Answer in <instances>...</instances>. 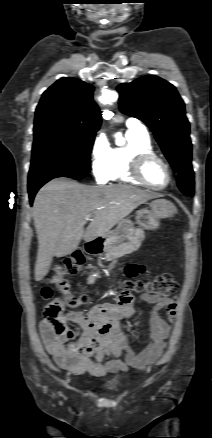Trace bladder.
Segmentation results:
<instances>
[{
	"label": "bladder",
	"mask_w": 212,
	"mask_h": 438,
	"mask_svg": "<svg viewBox=\"0 0 212 438\" xmlns=\"http://www.w3.org/2000/svg\"><path fill=\"white\" fill-rule=\"evenodd\" d=\"M122 386V383L118 380H109L104 383V388L107 390L115 391Z\"/></svg>",
	"instance_id": "31cf9c89"
}]
</instances>
